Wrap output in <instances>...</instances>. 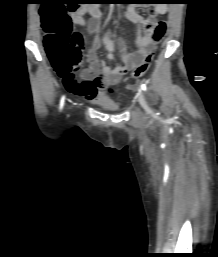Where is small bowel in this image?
I'll return each instance as SVG.
<instances>
[{"instance_id":"1","label":"small bowel","mask_w":218,"mask_h":257,"mask_svg":"<svg viewBox=\"0 0 218 257\" xmlns=\"http://www.w3.org/2000/svg\"><path fill=\"white\" fill-rule=\"evenodd\" d=\"M165 5H158L154 9L156 14L166 13ZM89 14L91 18L86 21L85 15ZM134 23L138 27V35L135 41L136 49L127 51L125 42L122 38L118 39V45L122 51L120 60L115 55V44L109 31H106L101 39L96 35L102 29L101 12L95 5H83L75 12L71 13V20L77 26H87V31L94 37L88 54V67L83 69L78 75L75 74L72 79L63 78L64 85L74 95L84 97L88 100L105 98L103 95L97 97L98 92L102 91L110 83L119 82L126 73L138 66L147 55L153 52L156 42L155 31L147 27V21L133 7L126 8L119 15ZM162 26L159 37L165 32L164 22H158ZM100 43H103L107 52V58L114 64L108 67L103 61V55H97ZM90 63V66H89Z\"/></svg>"}]
</instances>
